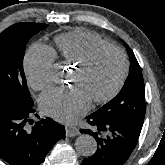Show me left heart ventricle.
<instances>
[{"label": "left heart ventricle", "instance_id": "obj_1", "mask_svg": "<svg viewBox=\"0 0 165 165\" xmlns=\"http://www.w3.org/2000/svg\"><path fill=\"white\" fill-rule=\"evenodd\" d=\"M122 68L118 53L106 50L98 54L84 70L75 69L72 85L79 87L90 100L107 94L115 85Z\"/></svg>", "mask_w": 165, "mask_h": 165}]
</instances>
